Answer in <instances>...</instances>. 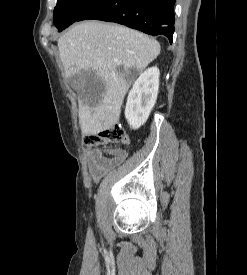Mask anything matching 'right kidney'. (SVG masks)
Instances as JSON below:
<instances>
[{"label":"right kidney","instance_id":"ca27d5eb","mask_svg":"<svg viewBox=\"0 0 247 275\" xmlns=\"http://www.w3.org/2000/svg\"><path fill=\"white\" fill-rule=\"evenodd\" d=\"M159 75V69L151 67L134 82L125 107V117L131 128L138 129L147 121L157 99Z\"/></svg>","mask_w":247,"mask_h":275}]
</instances>
